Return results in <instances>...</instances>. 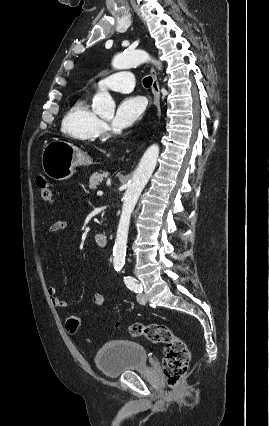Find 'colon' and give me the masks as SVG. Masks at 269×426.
<instances>
[{
	"label": "colon",
	"mask_w": 269,
	"mask_h": 426,
	"mask_svg": "<svg viewBox=\"0 0 269 426\" xmlns=\"http://www.w3.org/2000/svg\"><path fill=\"white\" fill-rule=\"evenodd\" d=\"M36 183L42 199L51 202L53 190L49 181L44 176L39 175ZM67 328L71 333L78 330L79 319L77 316L68 318ZM127 331L131 336L145 337L153 343L164 344L163 372L168 387L176 389L189 368L190 353L185 342L165 324L133 323L127 327Z\"/></svg>",
	"instance_id": "obj_1"
}]
</instances>
